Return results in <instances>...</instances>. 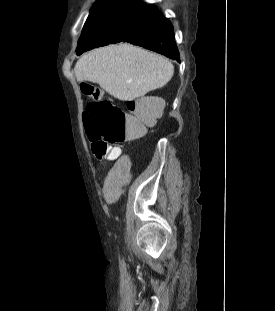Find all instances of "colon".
I'll use <instances>...</instances> for the list:
<instances>
[{
  "instance_id": "5ec220e1",
  "label": "colon",
  "mask_w": 275,
  "mask_h": 311,
  "mask_svg": "<svg viewBox=\"0 0 275 311\" xmlns=\"http://www.w3.org/2000/svg\"><path fill=\"white\" fill-rule=\"evenodd\" d=\"M82 90L94 99L84 111L83 120L97 159L114 158L119 144L141 137L145 128L160 117L159 110L150 101H130V113H127L110 101L101 99L96 88L85 84Z\"/></svg>"
}]
</instances>
